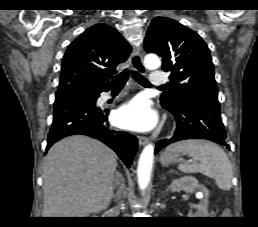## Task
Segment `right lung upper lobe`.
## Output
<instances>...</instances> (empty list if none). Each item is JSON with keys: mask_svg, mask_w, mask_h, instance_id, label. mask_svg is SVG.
Masks as SVG:
<instances>
[{"mask_svg": "<svg viewBox=\"0 0 258 227\" xmlns=\"http://www.w3.org/2000/svg\"><path fill=\"white\" fill-rule=\"evenodd\" d=\"M131 46L106 24H96L75 39L65 52L58 91L73 88L107 89L116 66L125 62Z\"/></svg>", "mask_w": 258, "mask_h": 227, "instance_id": "right-lung-upper-lobe-1", "label": "right lung upper lobe"}]
</instances>
